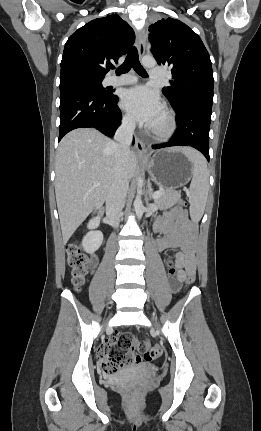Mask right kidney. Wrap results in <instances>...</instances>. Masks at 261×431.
<instances>
[{"label": "right kidney", "mask_w": 261, "mask_h": 431, "mask_svg": "<svg viewBox=\"0 0 261 431\" xmlns=\"http://www.w3.org/2000/svg\"><path fill=\"white\" fill-rule=\"evenodd\" d=\"M97 223H98V218L91 220L88 224V228L90 229L95 228ZM102 241H103L102 232L92 230L84 236L82 240V246L87 253L92 254L99 249V247L102 244Z\"/></svg>", "instance_id": "obj_1"}]
</instances>
